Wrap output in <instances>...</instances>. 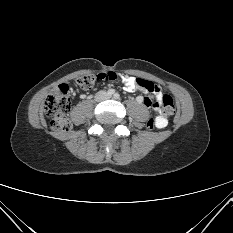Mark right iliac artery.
<instances>
[{"instance_id": "right-iliac-artery-1", "label": "right iliac artery", "mask_w": 233, "mask_h": 233, "mask_svg": "<svg viewBox=\"0 0 233 233\" xmlns=\"http://www.w3.org/2000/svg\"><path fill=\"white\" fill-rule=\"evenodd\" d=\"M115 93V90L114 89H109L108 91H107V94L108 95H113Z\"/></svg>"}]
</instances>
